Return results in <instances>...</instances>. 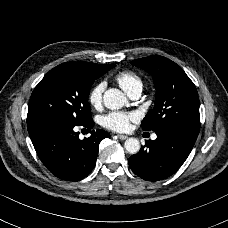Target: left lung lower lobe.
<instances>
[{"instance_id":"1","label":"left lung lower lobe","mask_w":228,"mask_h":228,"mask_svg":"<svg viewBox=\"0 0 228 228\" xmlns=\"http://www.w3.org/2000/svg\"><path fill=\"white\" fill-rule=\"evenodd\" d=\"M141 150L129 158L131 170L147 181H158L174 174L189 156L197 136L184 131L156 132Z\"/></svg>"}]
</instances>
